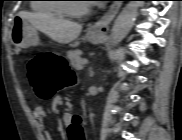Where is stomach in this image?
Segmentation results:
<instances>
[{
    "label": "stomach",
    "instance_id": "1",
    "mask_svg": "<svg viewBox=\"0 0 182 140\" xmlns=\"http://www.w3.org/2000/svg\"><path fill=\"white\" fill-rule=\"evenodd\" d=\"M101 35L93 33L91 30L87 31L86 38L92 43H98ZM10 38L12 43L17 48H27L31 45H37L39 38L36 30L29 23V21L20 15L13 19L10 29Z\"/></svg>",
    "mask_w": 182,
    "mask_h": 140
}]
</instances>
